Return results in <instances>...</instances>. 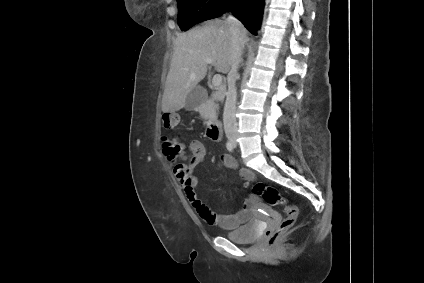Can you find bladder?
<instances>
[{"label": "bladder", "mask_w": 424, "mask_h": 283, "mask_svg": "<svg viewBox=\"0 0 424 283\" xmlns=\"http://www.w3.org/2000/svg\"><path fill=\"white\" fill-rule=\"evenodd\" d=\"M261 227L258 220H250L245 225L227 233V238L234 243L248 244L256 240L260 234Z\"/></svg>", "instance_id": "bladder-1"}]
</instances>
